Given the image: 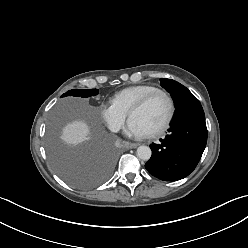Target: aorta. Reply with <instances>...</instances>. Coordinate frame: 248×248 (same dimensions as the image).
Returning <instances> with one entry per match:
<instances>
[{"instance_id":"obj_1","label":"aorta","mask_w":248,"mask_h":248,"mask_svg":"<svg viewBox=\"0 0 248 248\" xmlns=\"http://www.w3.org/2000/svg\"><path fill=\"white\" fill-rule=\"evenodd\" d=\"M137 157L141 160L147 161L151 157V149L148 146H139L136 151Z\"/></svg>"}]
</instances>
